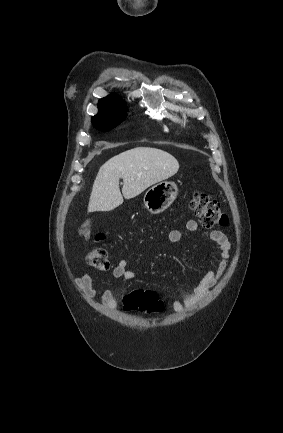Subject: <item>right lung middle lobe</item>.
Returning <instances> with one entry per match:
<instances>
[{"label": "right lung middle lobe", "mask_w": 283, "mask_h": 433, "mask_svg": "<svg viewBox=\"0 0 283 433\" xmlns=\"http://www.w3.org/2000/svg\"><path fill=\"white\" fill-rule=\"evenodd\" d=\"M127 112H114L92 117L93 125L99 130H110L126 119Z\"/></svg>", "instance_id": "dd1d6c3e"}]
</instances>
